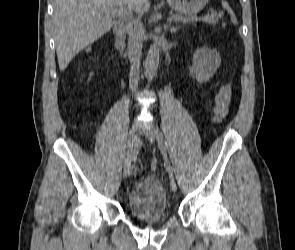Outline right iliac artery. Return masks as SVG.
Instances as JSON below:
<instances>
[{
  "label": "right iliac artery",
  "mask_w": 295,
  "mask_h": 250,
  "mask_svg": "<svg viewBox=\"0 0 295 250\" xmlns=\"http://www.w3.org/2000/svg\"><path fill=\"white\" fill-rule=\"evenodd\" d=\"M140 147H141V144L137 143L136 147H133V153L125 159L124 164L127 165L131 170L134 167V164H135V161L137 158V154H141Z\"/></svg>",
  "instance_id": "82829eb1"
}]
</instances>
